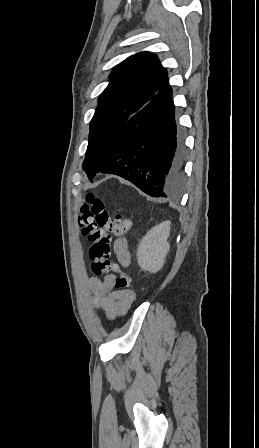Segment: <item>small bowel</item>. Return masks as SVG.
Here are the masks:
<instances>
[{"mask_svg":"<svg viewBox=\"0 0 259 448\" xmlns=\"http://www.w3.org/2000/svg\"><path fill=\"white\" fill-rule=\"evenodd\" d=\"M113 251L119 266L127 267L131 263L128 240L120 237L114 241ZM115 275L105 274L103 279L91 277L89 284L94 294L93 305L102 308L106 317L113 321L125 314L133 302L135 295L129 290H113Z\"/></svg>","mask_w":259,"mask_h":448,"instance_id":"obj_1","label":"small bowel"}]
</instances>
